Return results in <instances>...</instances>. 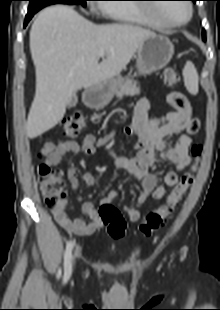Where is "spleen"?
I'll list each match as a JSON object with an SVG mask.
<instances>
[{"label":"spleen","instance_id":"spleen-1","mask_svg":"<svg viewBox=\"0 0 220 310\" xmlns=\"http://www.w3.org/2000/svg\"><path fill=\"white\" fill-rule=\"evenodd\" d=\"M183 76L187 90L192 95H196L198 93V74L192 62L186 63Z\"/></svg>","mask_w":220,"mask_h":310}]
</instances>
